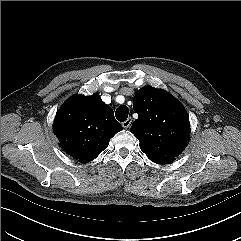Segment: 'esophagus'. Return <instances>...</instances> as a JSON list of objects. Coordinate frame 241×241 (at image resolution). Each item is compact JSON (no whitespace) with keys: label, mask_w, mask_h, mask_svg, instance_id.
Returning <instances> with one entry per match:
<instances>
[{"label":"esophagus","mask_w":241,"mask_h":241,"mask_svg":"<svg viewBox=\"0 0 241 241\" xmlns=\"http://www.w3.org/2000/svg\"><path fill=\"white\" fill-rule=\"evenodd\" d=\"M131 123H132V119L131 118H128L127 120H125L124 122H122V127L127 129L131 126Z\"/></svg>","instance_id":"obj_1"}]
</instances>
